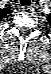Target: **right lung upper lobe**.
I'll return each instance as SVG.
<instances>
[{"label": "right lung upper lobe", "mask_w": 51, "mask_h": 74, "mask_svg": "<svg viewBox=\"0 0 51 74\" xmlns=\"http://www.w3.org/2000/svg\"><path fill=\"white\" fill-rule=\"evenodd\" d=\"M10 12H11L10 10H6V12H5V13H6V14H8V13H10Z\"/></svg>", "instance_id": "cb5924a9"}]
</instances>
